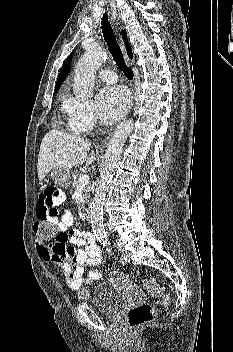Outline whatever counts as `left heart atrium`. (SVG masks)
I'll list each match as a JSON object with an SVG mask.
<instances>
[{
    "label": "left heart atrium",
    "mask_w": 233,
    "mask_h": 352,
    "mask_svg": "<svg viewBox=\"0 0 233 352\" xmlns=\"http://www.w3.org/2000/svg\"><path fill=\"white\" fill-rule=\"evenodd\" d=\"M129 106V95L123 87L102 89L96 98V107L101 120L112 124L119 120Z\"/></svg>",
    "instance_id": "obj_1"
}]
</instances>
